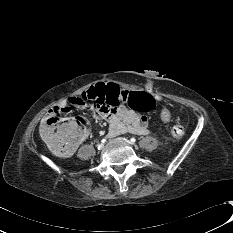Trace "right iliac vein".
Here are the masks:
<instances>
[{"instance_id":"obj_1","label":"right iliac vein","mask_w":233,"mask_h":233,"mask_svg":"<svg viewBox=\"0 0 233 233\" xmlns=\"http://www.w3.org/2000/svg\"><path fill=\"white\" fill-rule=\"evenodd\" d=\"M103 148H104V145H103V144H99V145H98V149H99V150H102Z\"/></svg>"}]
</instances>
